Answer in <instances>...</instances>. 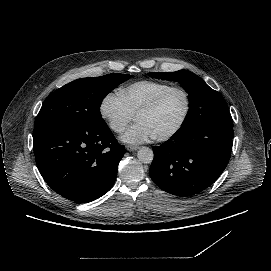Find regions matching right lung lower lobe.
<instances>
[{
	"label": "right lung lower lobe",
	"instance_id": "98d812e1",
	"mask_svg": "<svg viewBox=\"0 0 271 271\" xmlns=\"http://www.w3.org/2000/svg\"><path fill=\"white\" fill-rule=\"evenodd\" d=\"M33 149L45 182L78 203L93 201L110 190L125 153L105 122L42 123L34 126Z\"/></svg>",
	"mask_w": 271,
	"mask_h": 271
}]
</instances>
